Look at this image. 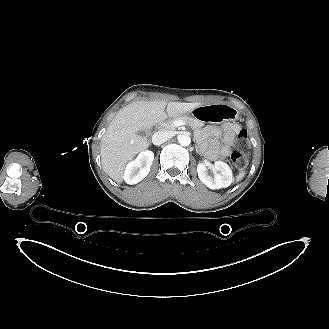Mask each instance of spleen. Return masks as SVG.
I'll use <instances>...</instances> for the list:
<instances>
[{
    "mask_svg": "<svg viewBox=\"0 0 329 329\" xmlns=\"http://www.w3.org/2000/svg\"><path fill=\"white\" fill-rule=\"evenodd\" d=\"M244 175H245V172H240L237 179L238 180L242 179L244 177Z\"/></svg>",
    "mask_w": 329,
    "mask_h": 329,
    "instance_id": "spleen-1",
    "label": "spleen"
}]
</instances>
